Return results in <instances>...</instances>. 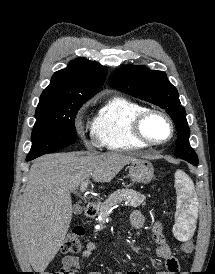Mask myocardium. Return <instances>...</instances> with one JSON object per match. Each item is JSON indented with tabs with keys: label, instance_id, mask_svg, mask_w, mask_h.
Returning <instances> with one entry per match:
<instances>
[{
	"label": "myocardium",
	"instance_id": "myocardium-1",
	"mask_svg": "<svg viewBox=\"0 0 215 274\" xmlns=\"http://www.w3.org/2000/svg\"><path fill=\"white\" fill-rule=\"evenodd\" d=\"M151 115H159L161 117H163L167 123L169 124L170 127V134L169 137L167 139H165L164 141H160V142H156L151 140L145 133L144 131V124L146 122V120L151 116ZM132 131L134 136L142 143H144L147 146H153V147H159V146H163L166 145L167 143H169L175 134V125L174 122L172 120V118L164 111L159 110V109H150L147 108L145 110H143L142 112H140L133 120L132 123Z\"/></svg>",
	"mask_w": 215,
	"mask_h": 274
}]
</instances>
